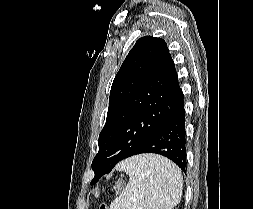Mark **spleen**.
<instances>
[{"instance_id":"obj_1","label":"spleen","mask_w":253,"mask_h":209,"mask_svg":"<svg viewBox=\"0 0 253 209\" xmlns=\"http://www.w3.org/2000/svg\"><path fill=\"white\" fill-rule=\"evenodd\" d=\"M117 170L129 175V183L110 209H173L181 200L183 177L170 160L142 154L122 161Z\"/></svg>"}]
</instances>
